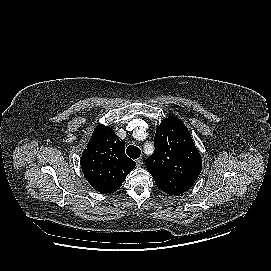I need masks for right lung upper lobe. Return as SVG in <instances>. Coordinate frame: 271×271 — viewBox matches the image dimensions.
<instances>
[{
  "instance_id": "obj_1",
  "label": "right lung upper lobe",
  "mask_w": 271,
  "mask_h": 271,
  "mask_svg": "<svg viewBox=\"0 0 271 271\" xmlns=\"http://www.w3.org/2000/svg\"><path fill=\"white\" fill-rule=\"evenodd\" d=\"M135 164L125 155L124 141L102 124L96 127L81 157L85 178L101 193L118 190Z\"/></svg>"
}]
</instances>
